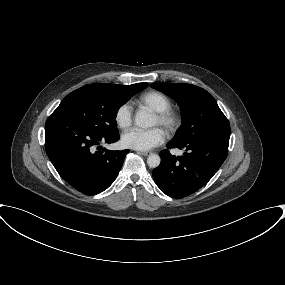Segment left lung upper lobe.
Here are the masks:
<instances>
[{"mask_svg":"<svg viewBox=\"0 0 285 285\" xmlns=\"http://www.w3.org/2000/svg\"><path fill=\"white\" fill-rule=\"evenodd\" d=\"M151 87L173 98L182 110V124L171 142L186 144L197 139L229 142V122L205 89L179 83Z\"/></svg>","mask_w":285,"mask_h":285,"instance_id":"left-lung-upper-lobe-1","label":"left lung upper lobe"}]
</instances>
